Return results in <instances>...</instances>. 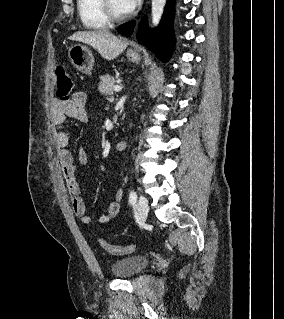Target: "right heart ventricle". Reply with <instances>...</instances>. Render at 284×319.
<instances>
[{"instance_id":"1","label":"right heart ventricle","mask_w":284,"mask_h":319,"mask_svg":"<svg viewBox=\"0 0 284 319\" xmlns=\"http://www.w3.org/2000/svg\"><path fill=\"white\" fill-rule=\"evenodd\" d=\"M77 9L81 22L88 29H104L110 24L101 0H77Z\"/></svg>"}]
</instances>
